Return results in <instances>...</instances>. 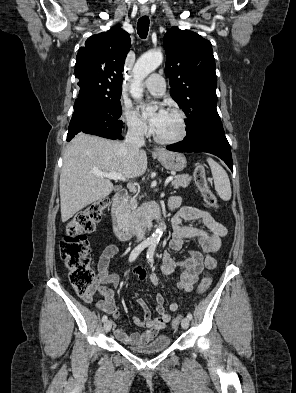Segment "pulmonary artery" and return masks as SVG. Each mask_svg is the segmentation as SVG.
<instances>
[{
  "label": "pulmonary artery",
  "instance_id": "1",
  "mask_svg": "<svg viewBox=\"0 0 296 393\" xmlns=\"http://www.w3.org/2000/svg\"><path fill=\"white\" fill-rule=\"evenodd\" d=\"M144 86L147 90L156 96H161L165 93L166 86L165 81L162 75L160 74H152L150 75L145 83Z\"/></svg>",
  "mask_w": 296,
  "mask_h": 393
}]
</instances>
